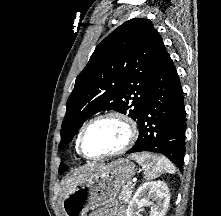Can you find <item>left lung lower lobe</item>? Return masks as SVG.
Listing matches in <instances>:
<instances>
[{"mask_svg": "<svg viewBox=\"0 0 221 216\" xmlns=\"http://www.w3.org/2000/svg\"><path fill=\"white\" fill-rule=\"evenodd\" d=\"M138 126L137 142L127 154L142 151L160 153L182 171L186 114L179 77L167 52L152 76Z\"/></svg>", "mask_w": 221, "mask_h": 216, "instance_id": "left-lung-lower-lobe-1", "label": "left lung lower lobe"}]
</instances>
